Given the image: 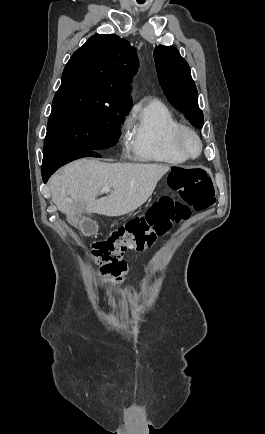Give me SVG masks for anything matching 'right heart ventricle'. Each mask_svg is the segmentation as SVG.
Instances as JSON below:
<instances>
[{
	"instance_id": "right-heart-ventricle-1",
	"label": "right heart ventricle",
	"mask_w": 265,
	"mask_h": 434,
	"mask_svg": "<svg viewBox=\"0 0 265 434\" xmlns=\"http://www.w3.org/2000/svg\"><path fill=\"white\" fill-rule=\"evenodd\" d=\"M129 125L131 133L127 136V146L137 160L170 166L186 162L174 143L182 124L163 101L151 99L137 106L130 115Z\"/></svg>"
}]
</instances>
